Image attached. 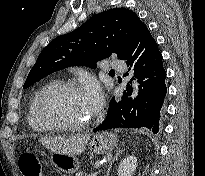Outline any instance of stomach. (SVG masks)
<instances>
[{
	"instance_id": "0dacf381",
	"label": "stomach",
	"mask_w": 205,
	"mask_h": 176,
	"mask_svg": "<svg viewBox=\"0 0 205 176\" xmlns=\"http://www.w3.org/2000/svg\"><path fill=\"white\" fill-rule=\"evenodd\" d=\"M117 144L116 137L109 132H103L93 136L89 143L91 152L103 154L113 150ZM52 165L65 173H74L79 169V161L73 155H67L61 152H54L50 157Z\"/></svg>"
}]
</instances>
